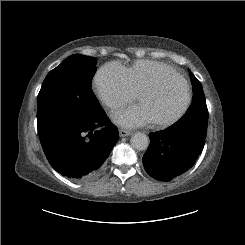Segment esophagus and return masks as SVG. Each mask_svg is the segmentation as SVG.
I'll return each instance as SVG.
<instances>
[{
	"instance_id": "esophagus-1",
	"label": "esophagus",
	"mask_w": 245,
	"mask_h": 245,
	"mask_svg": "<svg viewBox=\"0 0 245 245\" xmlns=\"http://www.w3.org/2000/svg\"><path fill=\"white\" fill-rule=\"evenodd\" d=\"M131 134H132V132L129 131V130H125V129H120V130H119V135H120L121 137L129 136V135H131Z\"/></svg>"
}]
</instances>
